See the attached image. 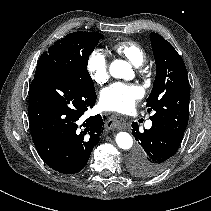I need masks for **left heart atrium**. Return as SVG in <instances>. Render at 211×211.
<instances>
[{
  "mask_svg": "<svg viewBox=\"0 0 211 211\" xmlns=\"http://www.w3.org/2000/svg\"><path fill=\"white\" fill-rule=\"evenodd\" d=\"M142 96L139 86L116 82L102 90L100 104L106 110L124 113L131 110Z\"/></svg>",
  "mask_w": 211,
  "mask_h": 211,
  "instance_id": "obj_1",
  "label": "left heart atrium"
}]
</instances>
